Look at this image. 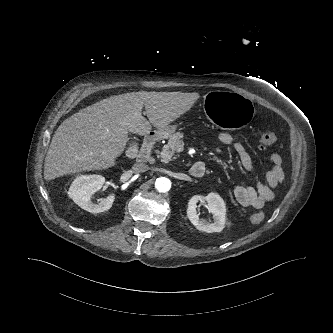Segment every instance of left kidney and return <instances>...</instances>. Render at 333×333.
I'll list each match as a JSON object with an SVG mask.
<instances>
[{
	"mask_svg": "<svg viewBox=\"0 0 333 333\" xmlns=\"http://www.w3.org/2000/svg\"><path fill=\"white\" fill-rule=\"evenodd\" d=\"M203 199L208 203V209L213 214L214 223H208L197 215L196 204ZM187 217L200 231L207 233L221 232L226 221L225 203L217 193H209L207 196L194 195L188 202Z\"/></svg>",
	"mask_w": 333,
	"mask_h": 333,
	"instance_id": "5707ae66",
	"label": "left kidney"
}]
</instances>
